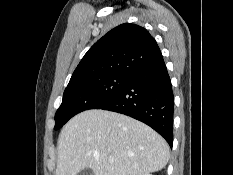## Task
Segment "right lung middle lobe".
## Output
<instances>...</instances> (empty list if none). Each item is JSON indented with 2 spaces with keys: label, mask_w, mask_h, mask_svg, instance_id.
I'll return each mask as SVG.
<instances>
[{
  "label": "right lung middle lobe",
  "mask_w": 233,
  "mask_h": 175,
  "mask_svg": "<svg viewBox=\"0 0 233 175\" xmlns=\"http://www.w3.org/2000/svg\"><path fill=\"white\" fill-rule=\"evenodd\" d=\"M126 74H105L69 83L63 101L55 114L58 130L74 115L95 109L113 98L130 80Z\"/></svg>",
  "instance_id": "obj_1"
}]
</instances>
